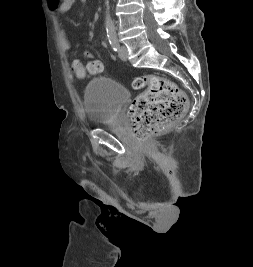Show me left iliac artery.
<instances>
[{
  "label": "left iliac artery",
  "mask_w": 253,
  "mask_h": 267,
  "mask_svg": "<svg viewBox=\"0 0 253 267\" xmlns=\"http://www.w3.org/2000/svg\"><path fill=\"white\" fill-rule=\"evenodd\" d=\"M106 32H107V37H108L111 47L113 48L115 52H117L119 49V42H118L115 28L108 26L106 27Z\"/></svg>",
  "instance_id": "obj_1"
}]
</instances>
